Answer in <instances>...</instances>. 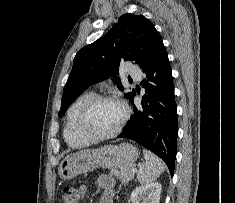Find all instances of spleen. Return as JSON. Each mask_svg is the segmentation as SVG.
<instances>
[{
	"label": "spleen",
	"instance_id": "3e777b00",
	"mask_svg": "<svg viewBox=\"0 0 235 203\" xmlns=\"http://www.w3.org/2000/svg\"><path fill=\"white\" fill-rule=\"evenodd\" d=\"M145 162L140 166L137 179L141 184H147L156 180L164 171V162L148 150H143Z\"/></svg>",
	"mask_w": 235,
	"mask_h": 203
}]
</instances>
